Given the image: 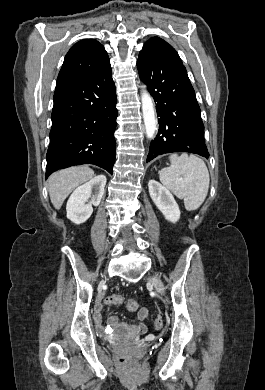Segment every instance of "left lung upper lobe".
Returning a JSON list of instances; mask_svg holds the SVG:
<instances>
[{
	"instance_id": "left-lung-upper-lobe-1",
	"label": "left lung upper lobe",
	"mask_w": 265,
	"mask_h": 390,
	"mask_svg": "<svg viewBox=\"0 0 265 390\" xmlns=\"http://www.w3.org/2000/svg\"><path fill=\"white\" fill-rule=\"evenodd\" d=\"M139 55L165 63L183 65L176 50L159 37H153L148 40L144 44L143 49L140 51Z\"/></svg>"
}]
</instances>
